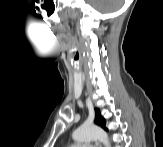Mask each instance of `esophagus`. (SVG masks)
Wrapping results in <instances>:
<instances>
[{
  "label": "esophagus",
  "mask_w": 163,
  "mask_h": 147,
  "mask_svg": "<svg viewBox=\"0 0 163 147\" xmlns=\"http://www.w3.org/2000/svg\"><path fill=\"white\" fill-rule=\"evenodd\" d=\"M95 146L96 147H100V143L99 142H95Z\"/></svg>",
  "instance_id": "34e87169"
}]
</instances>
